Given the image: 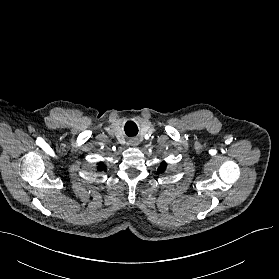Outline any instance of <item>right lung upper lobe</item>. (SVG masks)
Returning a JSON list of instances; mask_svg holds the SVG:
<instances>
[{"label": "right lung upper lobe", "instance_id": "right-lung-upper-lobe-1", "mask_svg": "<svg viewBox=\"0 0 279 279\" xmlns=\"http://www.w3.org/2000/svg\"><path fill=\"white\" fill-rule=\"evenodd\" d=\"M98 168H99L100 170L105 169V165L102 164V163H99Z\"/></svg>", "mask_w": 279, "mask_h": 279}]
</instances>
